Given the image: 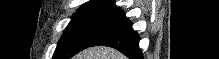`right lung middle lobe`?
<instances>
[{
  "mask_svg": "<svg viewBox=\"0 0 219 59\" xmlns=\"http://www.w3.org/2000/svg\"><path fill=\"white\" fill-rule=\"evenodd\" d=\"M114 11L74 14L58 42L53 59H70L127 20Z\"/></svg>",
  "mask_w": 219,
  "mask_h": 59,
  "instance_id": "obj_1",
  "label": "right lung middle lobe"
}]
</instances>
